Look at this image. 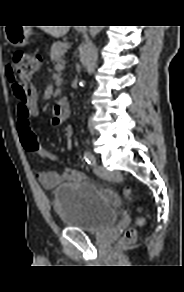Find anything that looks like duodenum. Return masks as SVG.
Listing matches in <instances>:
<instances>
[{
	"mask_svg": "<svg viewBox=\"0 0 184 292\" xmlns=\"http://www.w3.org/2000/svg\"><path fill=\"white\" fill-rule=\"evenodd\" d=\"M54 114L55 119H65L69 115V101L67 99L58 100L54 107Z\"/></svg>",
	"mask_w": 184,
	"mask_h": 292,
	"instance_id": "410a0bca",
	"label": "duodenum"
}]
</instances>
